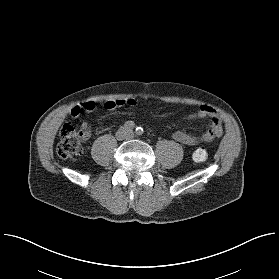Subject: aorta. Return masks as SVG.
I'll use <instances>...</instances> for the list:
<instances>
[{
  "mask_svg": "<svg viewBox=\"0 0 279 279\" xmlns=\"http://www.w3.org/2000/svg\"><path fill=\"white\" fill-rule=\"evenodd\" d=\"M142 133H143L142 128H137V129H136V134H137V135H141Z\"/></svg>",
  "mask_w": 279,
  "mask_h": 279,
  "instance_id": "1",
  "label": "aorta"
}]
</instances>
